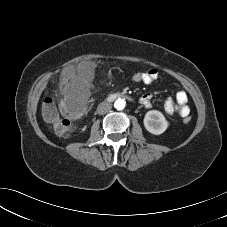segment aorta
<instances>
[{"instance_id":"obj_1","label":"aorta","mask_w":227,"mask_h":227,"mask_svg":"<svg viewBox=\"0 0 227 227\" xmlns=\"http://www.w3.org/2000/svg\"><path fill=\"white\" fill-rule=\"evenodd\" d=\"M126 106V101L124 99L118 98L115 102H114V107L117 110H123Z\"/></svg>"}]
</instances>
